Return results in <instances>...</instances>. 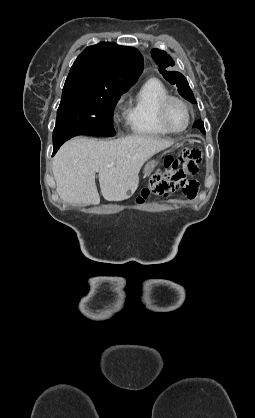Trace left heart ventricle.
Listing matches in <instances>:
<instances>
[{
    "label": "left heart ventricle",
    "mask_w": 255,
    "mask_h": 418,
    "mask_svg": "<svg viewBox=\"0 0 255 418\" xmlns=\"http://www.w3.org/2000/svg\"><path fill=\"white\" fill-rule=\"evenodd\" d=\"M169 125L174 129H182L187 123V111L178 102H172L167 113Z\"/></svg>",
    "instance_id": "1"
}]
</instances>
